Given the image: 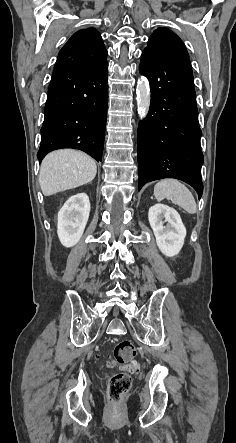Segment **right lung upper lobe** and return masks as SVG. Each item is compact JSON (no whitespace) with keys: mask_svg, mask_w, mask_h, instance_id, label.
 <instances>
[{"mask_svg":"<svg viewBox=\"0 0 236 443\" xmlns=\"http://www.w3.org/2000/svg\"><path fill=\"white\" fill-rule=\"evenodd\" d=\"M107 65V50L95 28L74 33L59 52L55 69L96 70Z\"/></svg>","mask_w":236,"mask_h":443,"instance_id":"obj_1","label":"right lung upper lobe"}]
</instances>
